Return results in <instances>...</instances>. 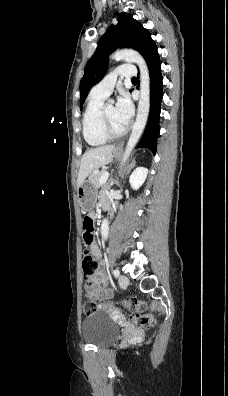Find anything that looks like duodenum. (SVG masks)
Instances as JSON below:
<instances>
[{
    "label": "duodenum",
    "mask_w": 228,
    "mask_h": 396,
    "mask_svg": "<svg viewBox=\"0 0 228 396\" xmlns=\"http://www.w3.org/2000/svg\"><path fill=\"white\" fill-rule=\"evenodd\" d=\"M102 207L103 208H108V204H103Z\"/></svg>",
    "instance_id": "410a0bca"
}]
</instances>
